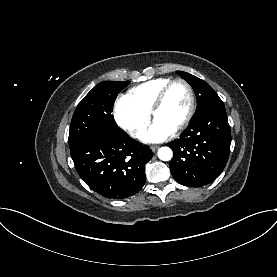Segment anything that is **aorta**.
Here are the masks:
<instances>
[{
  "label": "aorta",
  "instance_id": "aorta-1",
  "mask_svg": "<svg viewBox=\"0 0 277 277\" xmlns=\"http://www.w3.org/2000/svg\"><path fill=\"white\" fill-rule=\"evenodd\" d=\"M157 154L158 158L162 161H169L173 157V152L169 147H161Z\"/></svg>",
  "mask_w": 277,
  "mask_h": 277
}]
</instances>
